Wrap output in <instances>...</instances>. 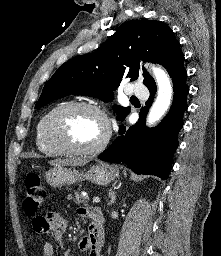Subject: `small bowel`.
<instances>
[{"label":"small bowel","instance_id":"obj_1","mask_svg":"<svg viewBox=\"0 0 221 256\" xmlns=\"http://www.w3.org/2000/svg\"><path fill=\"white\" fill-rule=\"evenodd\" d=\"M96 211L97 209L89 207H80L77 210L79 216L90 220L89 234L79 241V249L87 252L88 256H102L103 237L100 238L96 235L95 222L93 220V215ZM32 226L35 232L52 235L59 243H62L61 238L67 229V222L61 215L49 213L46 216H35L32 219ZM42 253L43 256H54V246L50 241L44 242Z\"/></svg>","mask_w":221,"mask_h":256}]
</instances>
